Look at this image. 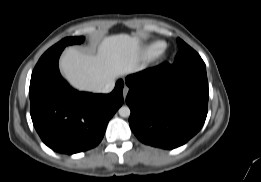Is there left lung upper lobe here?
I'll return each mask as SVG.
<instances>
[{
    "mask_svg": "<svg viewBox=\"0 0 261 182\" xmlns=\"http://www.w3.org/2000/svg\"><path fill=\"white\" fill-rule=\"evenodd\" d=\"M179 52L177 53L174 64L176 65H185V64H194V65H205L202 58L199 54L194 51L190 46H188L181 39H177Z\"/></svg>",
    "mask_w": 261,
    "mask_h": 182,
    "instance_id": "obj_1",
    "label": "left lung upper lobe"
}]
</instances>
